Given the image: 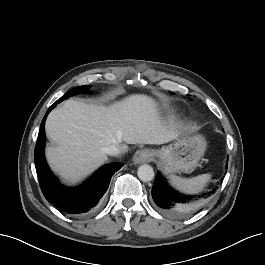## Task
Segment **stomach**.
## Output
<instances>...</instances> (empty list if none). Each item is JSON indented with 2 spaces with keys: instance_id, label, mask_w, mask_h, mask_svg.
<instances>
[{
  "instance_id": "obj_1",
  "label": "stomach",
  "mask_w": 265,
  "mask_h": 265,
  "mask_svg": "<svg viewBox=\"0 0 265 265\" xmlns=\"http://www.w3.org/2000/svg\"><path fill=\"white\" fill-rule=\"evenodd\" d=\"M207 142L202 135L183 134L170 145L155 152L160 167L167 173H190L200 165Z\"/></svg>"
}]
</instances>
